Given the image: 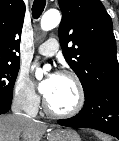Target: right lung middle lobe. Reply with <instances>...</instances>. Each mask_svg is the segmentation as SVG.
Segmentation results:
<instances>
[{
  "instance_id": "dd1d6c3e",
  "label": "right lung middle lobe",
  "mask_w": 119,
  "mask_h": 141,
  "mask_svg": "<svg viewBox=\"0 0 119 141\" xmlns=\"http://www.w3.org/2000/svg\"><path fill=\"white\" fill-rule=\"evenodd\" d=\"M19 66V63L0 62V99L12 100L13 86Z\"/></svg>"
}]
</instances>
